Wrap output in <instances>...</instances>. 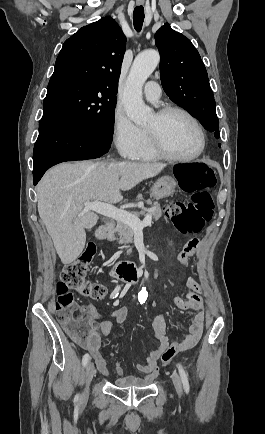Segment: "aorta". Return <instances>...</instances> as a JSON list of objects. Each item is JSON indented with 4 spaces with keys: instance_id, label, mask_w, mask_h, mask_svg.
Here are the masks:
<instances>
[{
    "instance_id": "1",
    "label": "aorta",
    "mask_w": 265,
    "mask_h": 434,
    "mask_svg": "<svg viewBox=\"0 0 265 434\" xmlns=\"http://www.w3.org/2000/svg\"><path fill=\"white\" fill-rule=\"evenodd\" d=\"M160 62L159 52L145 50L136 56L125 82L122 104L130 120L136 126H144L152 116V110L145 106L142 98V88Z\"/></svg>"
}]
</instances>
